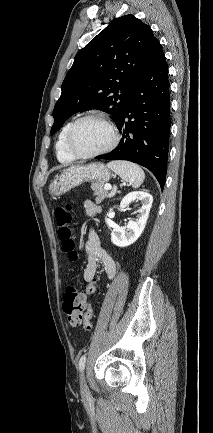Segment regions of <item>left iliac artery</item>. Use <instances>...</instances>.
Returning <instances> with one entry per match:
<instances>
[{
  "mask_svg": "<svg viewBox=\"0 0 213 433\" xmlns=\"http://www.w3.org/2000/svg\"><path fill=\"white\" fill-rule=\"evenodd\" d=\"M85 363H86V355L81 356L80 360H79V370L83 371L85 368Z\"/></svg>",
  "mask_w": 213,
  "mask_h": 433,
  "instance_id": "1",
  "label": "left iliac artery"
}]
</instances>
